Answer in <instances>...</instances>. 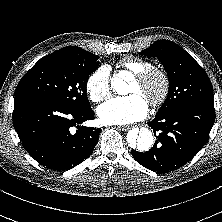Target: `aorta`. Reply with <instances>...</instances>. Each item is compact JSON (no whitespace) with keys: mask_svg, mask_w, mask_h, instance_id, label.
<instances>
[{"mask_svg":"<svg viewBox=\"0 0 222 222\" xmlns=\"http://www.w3.org/2000/svg\"><path fill=\"white\" fill-rule=\"evenodd\" d=\"M132 79V74L127 71L119 72L111 81L113 89L118 94L128 93L127 82ZM154 141L152 132L145 127L134 128L130 130L127 134V142L130 148L137 151H147L151 148Z\"/></svg>","mask_w":222,"mask_h":222,"instance_id":"aorta-1","label":"aorta"}]
</instances>
